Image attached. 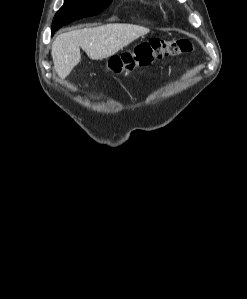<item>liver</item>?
<instances>
[{"mask_svg":"<svg viewBox=\"0 0 247 299\" xmlns=\"http://www.w3.org/2000/svg\"><path fill=\"white\" fill-rule=\"evenodd\" d=\"M150 30L146 27L116 23L62 33L52 44L56 73L66 78L81 61L80 48L92 60L108 58Z\"/></svg>","mask_w":247,"mask_h":299,"instance_id":"1","label":"liver"}]
</instances>
